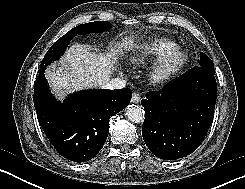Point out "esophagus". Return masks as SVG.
Returning a JSON list of instances; mask_svg holds the SVG:
<instances>
[{
	"label": "esophagus",
	"mask_w": 245,
	"mask_h": 189,
	"mask_svg": "<svg viewBox=\"0 0 245 189\" xmlns=\"http://www.w3.org/2000/svg\"><path fill=\"white\" fill-rule=\"evenodd\" d=\"M141 100V97L138 93L134 92L133 95H132V98H131V102L132 103H139Z\"/></svg>",
	"instance_id": "esophagus-1"
}]
</instances>
